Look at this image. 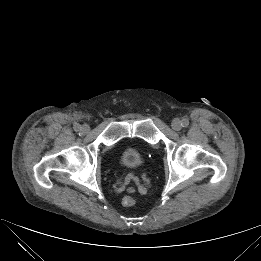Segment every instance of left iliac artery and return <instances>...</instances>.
Segmentation results:
<instances>
[{
  "mask_svg": "<svg viewBox=\"0 0 261 261\" xmlns=\"http://www.w3.org/2000/svg\"><path fill=\"white\" fill-rule=\"evenodd\" d=\"M181 125H182L183 127H187V126L189 125V120L186 119V118L183 119Z\"/></svg>",
  "mask_w": 261,
  "mask_h": 261,
  "instance_id": "obj_1",
  "label": "left iliac artery"
}]
</instances>
